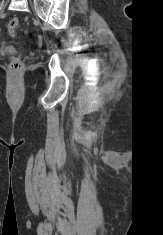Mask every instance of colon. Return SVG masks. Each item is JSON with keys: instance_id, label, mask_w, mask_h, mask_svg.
Segmentation results:
<instances>
[{"instance_id": "colon-1", "label": "colon", "mask_w": 163, "mask_h": 235, "mask_svg": "<svg viewBox=\"0 0 163 235\" xmlns=\"http://www.w3.org/2000/svg\"><path fill=\"white\" fill-rule=\"evenodd\" d=\"M19 28V20L17 18H13L8 22L7 31L11 36H16ZM22 68V60L20 57L13 58L10 64V70L13 74H17L20 72Z\"/></svg>"}]
</instances>
